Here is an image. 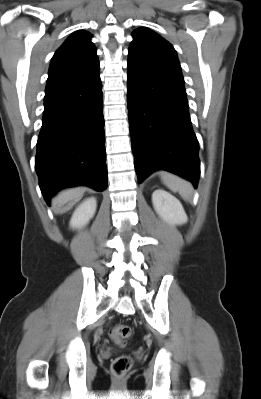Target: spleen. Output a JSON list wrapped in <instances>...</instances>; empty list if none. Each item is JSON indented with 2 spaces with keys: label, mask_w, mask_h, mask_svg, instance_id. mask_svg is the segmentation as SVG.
<instances>
[{
  "label": "spleen",
  "mask_w": 261,
  "mask_h": 399,
  "mask_svg": "<svg viewBox=\"0 0 261 399\" xmlns=\"http://www.w3.org/2000/svg\"><path fill=\"white\" fill-rule=\"evenodd\" d=\"M161 177L170 190L178 192L185 200L192 198L193 188L189 182L167 172H163Z\"/></svg>",
  "instance_id": "1"
}]
</instances>
